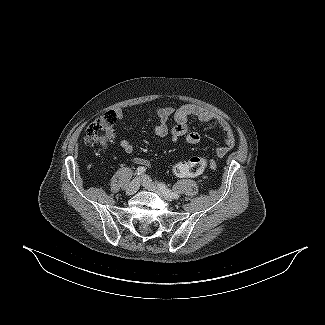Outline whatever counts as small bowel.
<instances>
[{"label": "small bowel", "mask_w": 325, "mask_h": 325, "mask_svg": "<svg viewBox=\"0 0 325 325\" xmlns=\"http://www.w3.org/2000/svg\"><path fill=\"white\" fill-rule=\"evenodd\" d=\"M155 113L159 119V123L155 128V134L158 137L164 138L170 136L173 141L183 139L187 144L191 145L198 144L201 140V135L197 131L190 128L188 122L189 118L196 117L200 121L206 123L216 120L215 116L209 110L194 104H185L178 108L160 107L156 109ZM114 115L117 119H122L124 117V111L118 109L115 111ZM171 117L175 121V125L173 127L168 126V121ZM217 121L224 132L225 145L218 147L216 149V154L218 157H223L235 146L236 139L233 129L229 123L224 120ZM119 145L127 154H132L134 152L133 145L126 139H122ZM133 162L141 165L142 167L149 166V162L141 157H134ZM209 168L211 170H215V161L209 162ZM198 175L205 177L203 172Z\"/></svg>", "instance_id": "obj_1"}]
</instances>
